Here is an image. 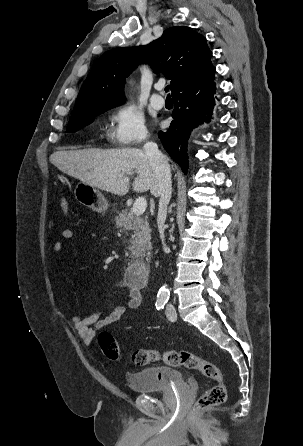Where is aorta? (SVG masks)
<instances>
[{
    "label": "aorta",
    "instance_id": "obj_1",
    "mask_svg": "<svg viewBox=\"0 0 303 446\" xmlns=\"http://www.w3.org/2000/svg\"><path fill=\"white\" fill-rule=\"evenodd\" d=\"M168 296H169V290H168L167 286L164 285L159 290L158 297H159V299L166 300L168 298Z\"/></svg>",
    "mask_w": 303,
    "mask_h": 446
}]
</instances>
